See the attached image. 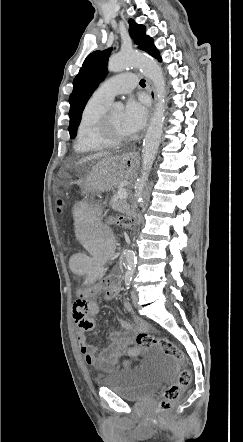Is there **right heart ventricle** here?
I'll use <instances>...</instances> for the list:
<instances>
[{
  "instance_id": "1",
  "label": "right heart ventricle",
  "mask_w": 243,
  "mask_h": 442,
  "mask_svg": "<svg viewBox=\"0 0 243 442\" xmlns=\"http://www.w3.org/2000/svg\"><path fill=\"white\" fill-rule=\"evenodd\" d=\"M109 103L99 101L93 96L86 103L77 127L74 149L78 153L95 152L110 146L103 144L97 136L100 119L106 113Z\"/></svg>"
}]
</instances>
